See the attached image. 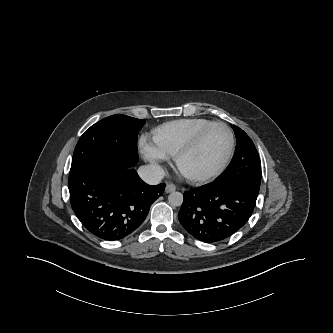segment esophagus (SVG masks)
Masks as SVG:
<instances>
[{"instance_id": "34e87169", "label": "esophagus", "mask_w": 333, "mask_h": 333, "mask_svg": "<svg viewBox=\"0 0 333 333\" xmlns=\"http://www.w3.org/2000/svg\"><path fill=\"white\" fill-rule=\"evenodd\" d=\"M176 190V186L172 183L166 185L165 191L166 193H171Z\"/></svg>"}]
</instances>
